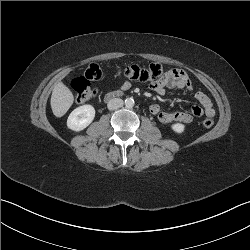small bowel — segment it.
<instances>
[{"label":"small bowel","instance_id":"c3829d8e","mask_svg":"<svg viewBox=\"0 0 250 250\" xmlns=\"http://www.w3.org/2000/svg\"><path fill=\"white\" fill-rule=\"evenodd\" d=\"M129 87V82H124L122 85L123 89H128ZM147 88L160 96L165 95L167 89L186 90L192 92L201 105V107L193 106L190 112H166L162 111L158 104H152L149 108L150 112L163 124L172 122L191 123L195 117L204 115L213 117L215 115L211 99L204 92L194 89L188 74L184 70L170 69L164 75V79H160L158 82L149 81Z\"/></svg>","mask_w":250,"mask_h":250}]
</instances>
